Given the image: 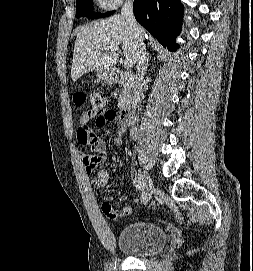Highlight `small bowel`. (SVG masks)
<instances>
[{"label": "small bowel", "instance_id": "c3829d8e", "mask_svg": "<svg viewBox=\"0 0 253 271\" xmlns=\"http://www.w3.org/2000/svg\"><path fill=\"white\" fill-rule=\"evenodd\" d=\"M95 118L96 126L99 128L107 127L113 121L106 119L104 114L95 116L91 112L83 113L80 117V124L77 129V138L82 145L89 146L93 152L91 155L81 153V161L83 168L87 174H92L95 168L104 163L107 153V145L105 141L96 135L89 127V121ZM125 130L123 125L118 124L117 133L115 137V144L121 146L123 144L122 134ZM110 173L106 169H101L96 172L93 178V185L99 188L105 187L109 181ZM103 206V212L111 219L116 220L120 217L129 216L132 213V208L129 206L121 209H116L110 204L106 203Z\"/></svg>", "mask_w": 253, "mask_h": 271}]
</instances>
